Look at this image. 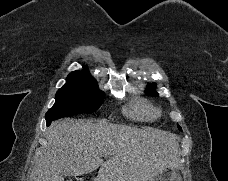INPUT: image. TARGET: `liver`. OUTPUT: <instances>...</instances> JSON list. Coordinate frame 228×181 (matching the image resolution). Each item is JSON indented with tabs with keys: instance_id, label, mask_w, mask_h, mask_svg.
<instances>
[{
	"instance_id": "1",
	"label": "liver",
	"mask_w": 228,
	"mask_h": 181,
	"mask_svg": "<svg viewBox=\"0 0 228 181\" xmlns=\"http://www.w3.org/2000/svg\"><path fill=\"white\" fill-rule=\"evenodd\" d=\"M47 145L30 181H63L62 175L98 171L100 181H154L166 169H178L179 143L172 133L112 125L105 119H66L53 123ZM108 155L107 161L100 159Z\"/></svg>"
}]
</instances>
